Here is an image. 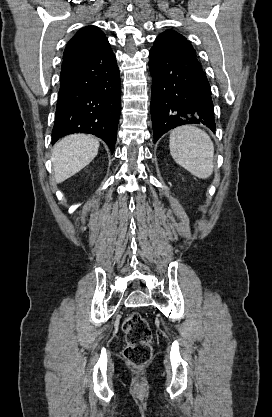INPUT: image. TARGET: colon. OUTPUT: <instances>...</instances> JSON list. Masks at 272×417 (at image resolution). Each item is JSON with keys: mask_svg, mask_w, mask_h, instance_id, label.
Here are the masks:
<instances>
[{"mask_svg": "<svg viewBox=\"0 0 272 417\" xmlns=\"http://www.w3.org/2000/svg\"><path fill=\"white\" fill-rule=\"evenodd\" d=\"M122 328L126 337L125 360L136 368L146 365L152 354L151 331L146 319L139 313L130 314Z\"/></svg>", "mask_w": 272, "mask_h": 417, "instance_id": "5ec220e1", "label": "colon"}]
</instances>
